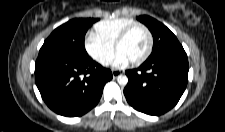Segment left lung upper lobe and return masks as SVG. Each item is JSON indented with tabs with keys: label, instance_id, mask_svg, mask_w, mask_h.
<instances>
[{
	"label": "left lung upper lobe",
	"instance_id": "1",
	"mask_svg": "<svg viewBox=\"0 0 225 132\" xmlns=\"http://www.w3.org/2000/svg\"><path fill=\"white\" fill-rule=\"evenodd\" d=\"M137 19L144 23L153 35V49L148 60L160 58L177 52H185L176 36L161 22L143 15Z\"/></svg>",
	"mask_w": 225,
	"mask_h": 132
}]
</instances>
